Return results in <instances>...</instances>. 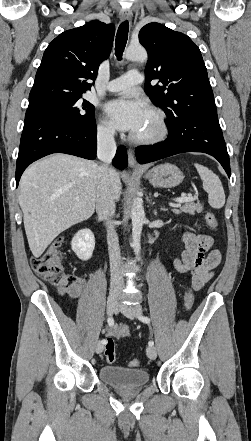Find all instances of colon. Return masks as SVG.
<instances>
[{
    "mask_svg": "<svg viewBox=\"0 0 251 441\" xmlns=\"http://www.w3.org/2000/svg\"><path fill=\"white\" fill-rule=\"evenodd\" d=\"M205 220L208 226L212 229L218 227V221L213 212L208 211L205 214ZM63 239L59 238L52 242L46 250L39 256L31 260V265L35 273L42 279L56 286L63 292L68 291L74 287L79 278L73 273L67 272L62 264L61 247ZM194 304V295L191 290H187L184 295V306L189 311ZM105 356L108 363L113 364L116 361L115 343L112 338H109L105 348ZM129 366L136 368L140 362L137 359H131Z\"/></svg>",
    "mask_w": 251,
    "mask_h": 441,
    "instance_id": "obj_1",
    "label": "colon"
}]
</instances>
